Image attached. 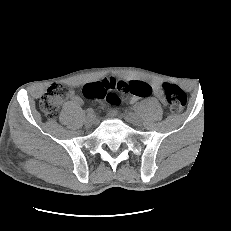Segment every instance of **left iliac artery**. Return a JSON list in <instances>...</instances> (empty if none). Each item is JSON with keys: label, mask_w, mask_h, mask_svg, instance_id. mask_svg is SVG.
<instances>
[{"label": "left iliac artery", "mask_w": 231, "mask_h": 231, "mask_svg": "<svg viewBox=\"0 0 231 231\" xmlns=\"http://www.w3.org/2000/svg\"><path fill=\"white\" fill-rule=\"evenodd\" d=\"M132 111L134 113H137L139 111V108L135 105L133 108H132Z\"/></svg>", "instance_id": "1"}]
</instances>
